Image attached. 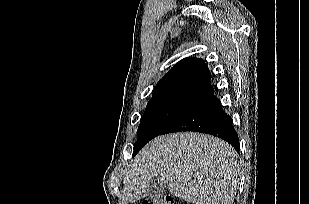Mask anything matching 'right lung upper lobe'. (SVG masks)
<instances>
[{
  "instance_id": "right-lung-upper-lobe-1",
  "label": "right lung upper lobe",
  "mask_w": 309,
  "mask_h": 204,
  "mask_svg": "<svg viewBox=\"0 0 309 204\" xmlns=\"http://www.w3.org/2000/svg\"><path fill=\"white\" fill-rule=\"evenodd\" d=\"M148 102H190L196 105L214 96L210 71L202 59L179 61L155 86Z\"/></svg>"
}]
</instances>
